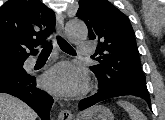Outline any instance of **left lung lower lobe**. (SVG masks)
<instances>
[{
  "instance_id": "left-lung-lower-lobe-1",
  "label": "left lung lower lobe",
  "mask_w": 165,
  "mask_h": 120,
  "mask_svg": "<svg viewBox=\"0 0 165 120\" xmlns=\"http://www.w3.org/2000/svg\"><path fill=\"white\" fill-rule=\"evenodd\" d=\"M125 95H134V96L140 97V98L144 99L148 103L149 107L151 108L149 95L131 93V92H101V91H99L98 93H96L88 98L82 99L79 103V109L84 110L100 101H103V100H106L109 98H113V97L125 96Z\"/></svg>"
}]
</instances>
